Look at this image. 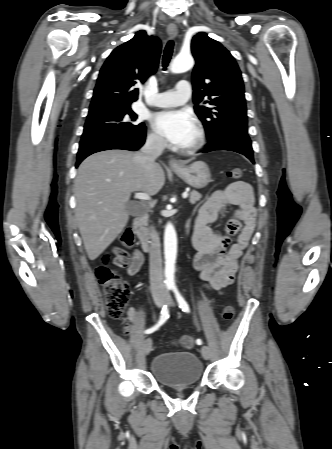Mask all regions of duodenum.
<instances>
[{"mask_svg": "<svg viewBox=\"0 0 332 449\" xmlns=\"http://www.w3.org/2000/svg\"><path fill=\"white\" fill-rule=\"evenodd\" d=\"M147 212L138 215L132 225L134 233L137 235L144 250L150 249V235L146 230Z\"/></svg>", "mask_w": 332, "mask_h": 449, "instance_id": "1", "label": "duodenum"}]
</instances>
